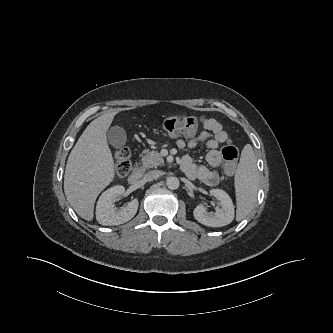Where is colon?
Returning a JSON list of instances; mask_svg holds the SVG:
<instances>
[{
	"label": "colon",
	"instance_id": "5ec220e1",
	"mask_svg": "<svg viewBox=\"0 0 333 333\" xmlns=\"http://www.w3.org/2000/svg\"><path fill=\"white\" fill-rule=\"evenodd\" d=\"M204 122L203 117L182 116L169 117L163 121V129L171 136L193 135L199 126ZM224 170L227 174H233L237 161L238 149L235 145L229 144L222 149ZM116 173L119 177L127 176L131 171L130 152L122 147L115 154Z\"/></svg>",
	"mask_w": 333,
	"mask_h": 333
}]
</instances>
